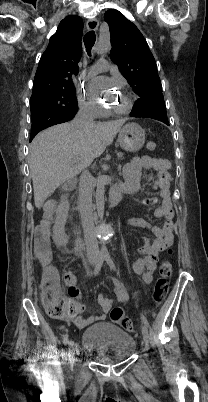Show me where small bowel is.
I'll return each instance as SVG.
<instances>
[{"label": "small bowel", "mask_w": 208, "mask_h": 402, "mask_svg": "<svg viewBox=\"0 0 208 402\" xmlns=\"http://www.w3.org/2000/svg\"><path fill=\"white\" fill-rule=\"evenodd\" d=\"M142 169H151L153 172L145 179L142 178ZM170 163L168 160L160 157L143 156L134 158L124 168L125 188L129 193L142 191L147 184L153 182V188L159 189L161 196V204L155 211V216L163 220L162 227H153L149 222L141 218H135L128 216V225L130 227H140L149 229L155 239L151 240L145 238L144 246L139 249L141 258L138 259L133 269L136 273L142 275L144 283H150L153 278V271L155 270L156 260L159 252L169 247L173 242V209L170 197L171 178L169 174ZM65 280L70 281V296L75 298L78 294L76 289V277L71 270L64 271ZM107 282L112 286L116 299L120 303H124L129 299L127 285L118 279L108 278ZM44 296V295H43ZM48 297L52 295H47ZM62 296V295H58ZM75 305L76 316L73 315H57L55 322L57 324H65L66 329L71 330L75 327L77 330H87L89 324L94 321L98 323L101 319H104L106 314L112 307V301L105 297L99 296L98 302L102 308V315L83 317L80 315L85 310L83 303L77 299H73Z\"/></svg>", "instance_id": "small-bowel-1"}]
</instances>
